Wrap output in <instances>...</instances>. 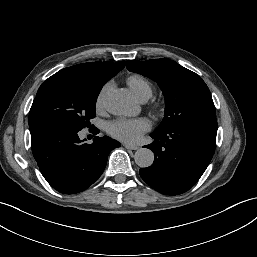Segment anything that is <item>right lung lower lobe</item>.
Masks as SVG:
<instances>
[{
    "label": "right lung lower lobe",
    "mask_w": 257,
    "mask_h": 257,
    "mask_svg": "<svg viewBox=\"0 0 257 257\" xmlns=\"http://www.w3.org/2000/svg\"><path fill=\"white\" fill-rule=\"evenodd\" d=\"M96 130L99 132L94 127ZM30 132L33 156L43 177L64 194L92 185L104 171L109 153L121 146L108 136H96L92 144L83 143L79 131L46 125L31 126Z\"/></svg>",
    "instance_id": "obj_1"
}]
</instances>
